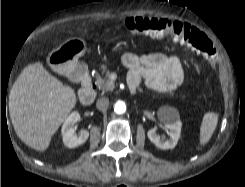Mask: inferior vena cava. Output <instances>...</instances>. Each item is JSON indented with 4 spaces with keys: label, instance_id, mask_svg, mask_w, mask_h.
<instances>
[{
    "label": "inferior vena cava",
    "instance_id": "1",
    "mask_svg": "<svg viewBox=\"0 0 245 187\" xmlns=\"http://www.w3.org/2000/svg\"><path fill=\"white\" fill-rule=\"evenodd\" d=\"M109 106V99L107 97H101L96 102V107L100 111H106Z\"/></svg>",
    "mask_w": 245,
    "mask_h": 187
}]
</instances>
